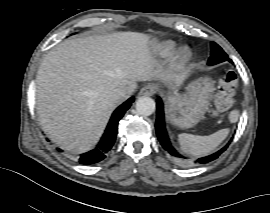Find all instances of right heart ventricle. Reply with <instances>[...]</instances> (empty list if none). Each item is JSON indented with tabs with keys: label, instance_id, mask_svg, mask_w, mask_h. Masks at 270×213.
Here are the masks:
<instances>
[{
	"label": "right heart ventricle",
	"instance_id": "e07e8e85",
	"mask_svg": "<svg viewBox=\"0 0 270 213\" xmlns=\"http://www.w3.org/2000/svg\"><path fill=\"white\" fill-rule=\"evenodd\" d=\"M175 48V43L171 41L158 42L153 47V52L156 56L166 57L172 53Z\"/></svg>",
	"mask_w": 270,
	"mask_h": 213
}]
</instances>
